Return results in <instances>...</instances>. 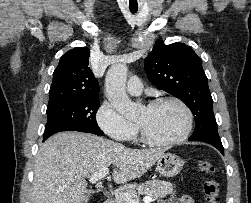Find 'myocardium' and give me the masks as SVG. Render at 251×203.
Wrapping results in <instances>:
<instances>
[{
    "instance_id": "obj_1",
    "label": "myocardium",
    "mask_w": 251,
    "mask_h": 203,
    "mask_svg": "<svg viewBox=\"0 0 251 203\" xmlns=\"http://www.w3.org/2000/svg\"><path fill=\"white\" fill-rule=\"evenodd\" d=\"M164 103H175L177 104L185 113L186 116V125L185 128L183 130V132L176 138L173 139H169V140H159V139H155L153 137H151L148 132L146 131V129L144 128V126L140 123H137V127L140 133V137L142 139L143 142H145L146 144L152 145V146H173V145H177L182 143L183 141H185L193 128V124H194V116L192 113V110L190 109V107L180 98L174 97V96H166V97H161V98H157L154 99L152 101H150L148 103V105L146 106V108H153L156 106H159L161 104Z\"/></svg>"
}]
</instances>
